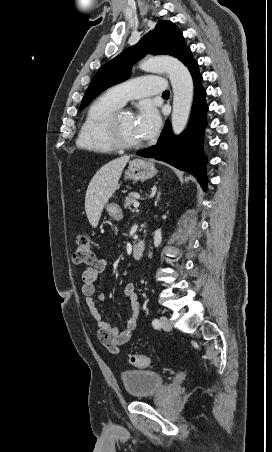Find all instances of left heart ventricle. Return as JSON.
Segmentation results:
<instances>
[{
  "label": "left heart ventricle",
  "mask_w": 272,
  "mask_h": 452,
  "mask_svg": "<svg viewBox=\"0 0 272 452\" xmlns=\"http://www.w3.org/2000/svg\"><path fill=\"white\" fill-rule=\"evenodd\" d=\"M121 135L128 141L137 142L141 140L138 132L136 118L129 113H124L119 120Z\"/></svg>",
  "instance_id": "1"
}]
</instances>
